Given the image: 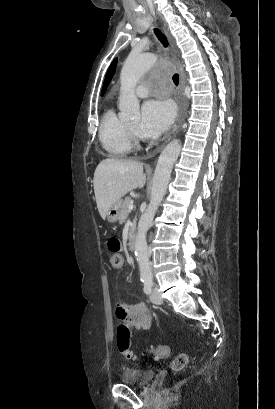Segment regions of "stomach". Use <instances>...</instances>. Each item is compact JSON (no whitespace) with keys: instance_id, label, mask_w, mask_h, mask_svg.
Segmentation results:
<instances>
[{"instance_id":"0dacf381","label":"stomach","mask_w":275,"mask_h":409,"mask_svg":"<svg viewBox=\"0 0 275 409\" xmlns=\"http://www.w3.org/2000/svg\"><path fill=\"white\" fill-rule=\"evenodd\" d=\"M122 202H123L122 198H119V200L113 202V205L109 207V211L107 213L108 223H117L122 209Z\"/></svg>"}]
</instances>
